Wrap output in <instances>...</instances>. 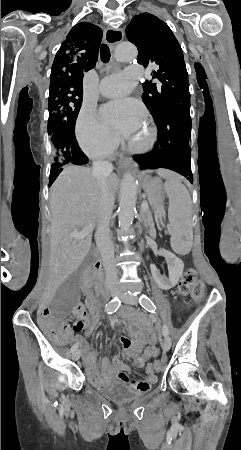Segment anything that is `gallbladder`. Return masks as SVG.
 I'll list each match as a JSON object with an SVG mask.
<instances>
[{"mask_svg":"<svg viewBox=\"0 0 241 450\" xmlns=\"http://www.w3.org/2000/svg\"><path fill=\"white\" fill-rule=\"evenodd\" d=\"M91 254H88L87 258H90ZM86 264V262H83ZM81 275L78 270H73L71 274L66 276V281L61 282L54 301H50L49 308L53 310L54 320L63 322L67 320L69 315H73L75 305H79L81 293L80 283Z\"/></svg>","mask_w":241,"mask_h":450,"instance_id":"gallbladder-1","label":"gallbladder"}]
</instances>
